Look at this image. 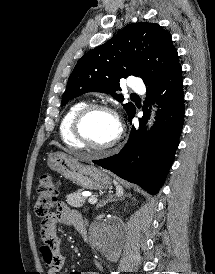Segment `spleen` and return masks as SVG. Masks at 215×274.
I'll return each mask as SVG.
<instances>
[{
    "label": "spleen",
    "mask_w": 215,
    "mask_h": 274,
    "mask_svg": "<svg viewBox=\"0 0 215 274\" xmlns=\"http://www.w3.org/2000/svg\"><path fill=\"white\" fill-rule=\"evenodd\" d=\"M114 185L116 186V194L120 196L123 193L122 187L114 180Z\"/></svg>",
    "instance_id": "3e777b00"
}]
</instances>
